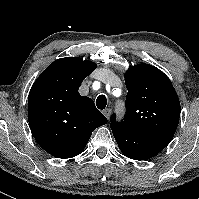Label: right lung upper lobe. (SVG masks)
I'll return each instance as SVG.
<instances>
[{
    "label": "right lung upper lobe",
    "mask_w": 199,
    "mask_h": 199,
    "mask_svg": "<svg viewBox=\"0 0 199 199\" xmlns=\"http://www.w3.org/2000/svg\"><path fill=\"white\" fill-rule=\"evenodd\" d=\"M78 57L51 63L37 78L28 96V120L37 143L57 158H72L85 148L92 132L108 122L89 97L78 89L96 69Z\"/></svg>",
    "instance_id": "cb5924a9"
}]
</instances>
